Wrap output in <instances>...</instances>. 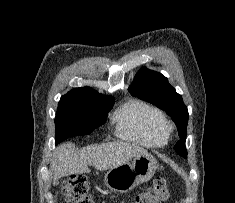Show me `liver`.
<instances>
[{"mask_svg": "<svg viewBox=\"0 0 235 203\" xmlns=\"http://www.w3.org/2000/svg\"><path fill=\"white\" fill-rule=\"evenodd\" d=\"M147 151L135 144L125 142H112L99 146H89L78 150L72 143H65L58 147L55 153L54 179L71 174L89 172V165L97 170L112 169L127 163L130 159Z\"/></svg>", "mask_w": 235, "mask_h": 203, "instance_id": "1", "label": "liver"}]
</instances>
